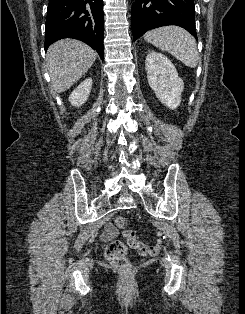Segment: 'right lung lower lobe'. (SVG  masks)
I'll return each instance as SVG.
<instances>
[{"mask_svg":"<svg viewBox=\"0 0 245 314\" xmlns=\"http://www.w3.org/2000/svg\"><path fill=\"white\" fill-rule=\"evenodd\" d=\"M103 20L102 0H50L44 48L59 39L75 38L103 59Z\"/></svg>","mask_w":245,"mask_h":314,"instance_id":"right-lung-lower-lobe-1","label":"right lung lower lobe"}]
</instances>
